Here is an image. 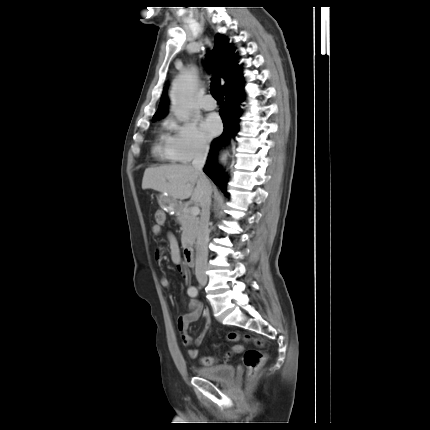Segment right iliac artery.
<instances>
[{
	"label": "right iliac artery",
	"instance_id": "right-iliac-artery-1",
	"mask_svg": "<svg viewBox=\"0 0 430 430\" xmlns=\"http://www.w3.org/2000/svg\"><path fill=\"white\" fill-rule=\"evenodd\" d=\"M187 293L190 297H196L198 295V289L194 286L188 288Z\"/></svg>",
	"mask_w": 430,
	"mask_h": 430
}]
</instances>
